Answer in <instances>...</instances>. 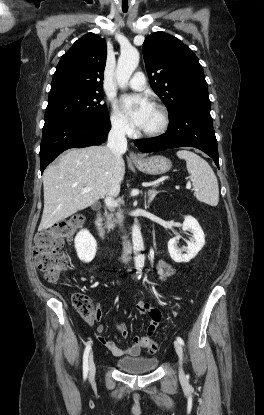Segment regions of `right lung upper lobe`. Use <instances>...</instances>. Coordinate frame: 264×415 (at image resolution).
Masks as SVG:
<instances>
[{
	"label": "right lung upper lobe",
	"mask_w": 264,
	"mask_h": 415,
	"mask_svg": "<svg viewBox=\"0 0 264 415\" xmlns=\"http://www.w3.org/2000/svg\"><path fill=\"white\" fill-rule=\"evenodd\" d=\"M106 41L94 33L78 39L61 57L49 96L67 91L102 92Z\"/></svg>",
	"instance_id": "1"
}]
</instances>
